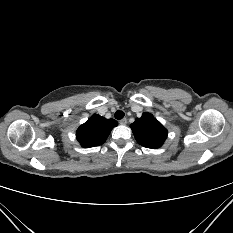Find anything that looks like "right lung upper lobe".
<instances>
[{"mask_svg":"<svg viewBox=\"0 0 233 233\" xmlns=\"http://www.w3.org/2000/svg\"><path fill=\"white\" fill-rule=\"evenodd\" d=\"M117 125L118 123L114 119H106L93 114L77 129L76 138L84 148L99 146L106 141L111 130Z\"/></svg>","mask_w":233,"mask_h":233,"instance_id":"1","label":"right lung upper lobe"}]
</instances>
